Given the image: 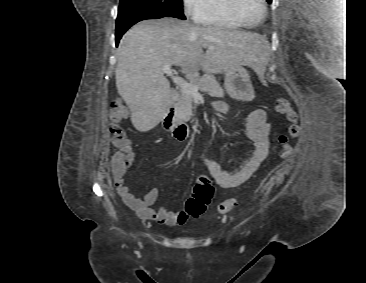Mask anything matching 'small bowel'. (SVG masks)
<instances>
[{
    "label": "small bowel",
    "mask_w": 366,
    "mask_h": 283,
    "mask_svg": "<svg viewBox=\"0 0 366 283\" xmlns=\"http://www.w3.org/2000/svg\"><path fill=\"white\" fill-rule=\"evenodd\" d=\"M213 108L220 113L227 111L226 104L220 100L213 102ZM269 132L270 124L268 123L266 110L256 109L251 111L246 117V135L253 143L251 155L232 170L223 168L216 159H203L216 184L223 188H232L247 181L268 156ZM127 168L121 167L116 162V155L113 156L111 171L117 192L124 202L135 210L140 217L169 226L182 225L186 221L187 216L183 212H173L163 207L154 210L151 207L158 198L159 191L156 187L151 188L142 199L136 198L125 184Z\"/></svg>",
    "instance_id": "c3829d8e"
}]
</instances>
